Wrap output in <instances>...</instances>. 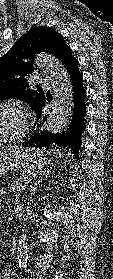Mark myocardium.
<instances>
[{
    "label": "myocardium",
    "instance_id": "myocardium-1",
    "mask_svg": "<svg viewBox=\"0 0 113 279\" xmlns=\"http://www.w3.org/2000/svg\"><path fill=\"white\" fill-rule=\"evenodd\" d=\"M3 107H11V108H14L17 111H19V113L22 116V129L18 134L6 136V137H1L0 138V144L22 140L27 135V133L29 131V126H30V122H29L30 116H29L27 108L25 107L24 104H22L19 101H15V100H3V101H1L0 102V108H3Z\"/></svg>",
    "mask_w": 113,
    "mask_h": 279
}]
</instances>
